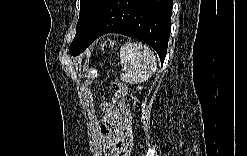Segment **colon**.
Returning a JSON list of instances; mask_svg holds the SVG:
<instances>
[{
  "label": "colon",
  "instance_id": "5ec220e1",
  "mask_svg": "<svg viewBox=\"0 0 247 156\" xmlns=\"http://www.w3.org/2000/svg\"><path fill=\"white\" fill-rule=\"evenodd\" d=\"M112 88L115 90L114 99L116 101V106L124 119V122L131 128L132 125V116L130 110L127 108L125 104L126 97V88L123 83L119 79H115L112 82Z\"/></svg>",
  "mask_w": 247,
  "mask_h": 156
}]
</instances>
